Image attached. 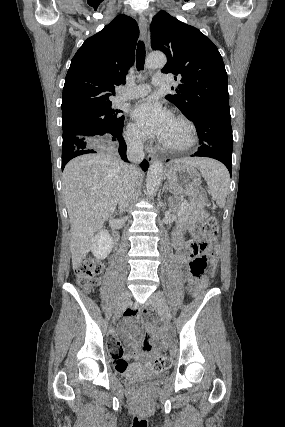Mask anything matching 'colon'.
I'll return each mask as SVG.
<instances>
[{"label": "colon", "instance_id": "1", "mask_svg": "<svg viewBox=\"0 0 285 427\" xmlns=\"http://www.w3.org/2000/svg\"><path fill=\"white\" fill-rule=\"evenodd\" d=\"M218 229L217 220L214 217L208 218L202 228L197 231L196 242L190 244L186 249L188 265L184 270V275L193 292H197L199 287L206 281L208 256L214 258L217 255L216 240ZM212 270L213 268L210 269L211 272ZM75 273L77 283L85 292H89L96 285L102 273V265L95 259L84 258L76 262ZM132 312V310H128L126 315ZM145 364L151 370H163L170 367L171 361L166 356H158L146 360ZM126 366V361L119 363L121 369Z\"/></svg>", "mask_w": 285, "mask_h": 427}]
</instances>
